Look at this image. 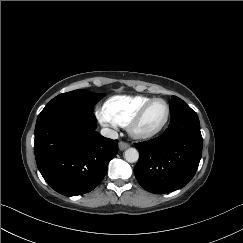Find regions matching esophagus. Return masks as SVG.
I'll return each mask as SVG.
<instances>
[{
    "label": "esophagus",
    "instance_id": "esophagus-1",
    "mask_svg": "<svg viewBox=\"0 0 243 243\" xmlns=\"http://www.w3.org/2000/svg\"><path fill=\"white\" fill-rule=\"evenodd\" d=\"M128 147H129V144L128 143L123 142V141L119 142V149L120 150H125Z\"/></svg>",
    "mask_w": 243,
    "mask_h": 243
}]
</instances>
